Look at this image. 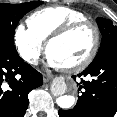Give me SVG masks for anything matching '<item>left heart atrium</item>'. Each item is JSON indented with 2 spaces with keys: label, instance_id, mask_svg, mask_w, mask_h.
Instances as JSON below:
<instances>
[{
  "label": "left heart atrium",
  "instance_id": "obj_1",
  "mask_svg": "<svg viewBox=\"0 0 117 117\" xmlns=\"http://www.w3.org/2000/svg\"><path fill=\"white\" fill-rule=\"evenodd\" d=\"M47 65L53 69H62L64 66L56 61L53 57L48 55Z\"/></svg>",
  "mask_w": 117,
  "mask_h": 117
}]
</instances>
